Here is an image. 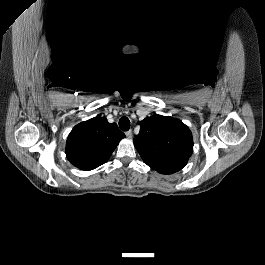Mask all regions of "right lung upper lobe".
Instances as JSON below:
<instances>
[{"instance_id": "obj_1", "label": "right lung upper lobe", "mask_w": 265, "mask_h": 265, "mask_svg": "<svg viewBox=\"0 0 265 265\" xmlns=\"http://www.w3.org/2000/svg\"><path fill=\"white\" fill-rule=\"evenodd\" d=\"M124 137L116 123L92 118L72 129L66 142V156L75 167L92 170L108 161Z\"/></svg>"}]
</instances>
